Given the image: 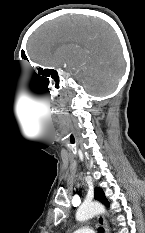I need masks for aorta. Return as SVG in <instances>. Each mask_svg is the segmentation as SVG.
Listing matches in <instances>:
<instances>
[{"label": "aorta", "mask_w": 145, "mask_h": 233, "mask_svg": "<svg viewBox=\"0 0 145 233\" xmlns=\"http://www.w3.org/2000/svg\"><path fill=\"white\" fill-rule=\"evenodd\" d=\"M105 212V207L102 204L98 202H92L88 204H82L78 208L75 217L77 221L81 222L88 220L95 215L104 214Z\"/></svg>", "instance_id": "aorta-1"}]
</instances>
